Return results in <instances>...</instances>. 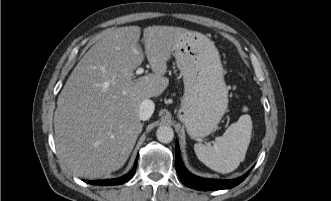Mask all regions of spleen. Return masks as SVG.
Returning a JSON list of instances; mask_svg holds the SVG:
<instances>
[{"label": "spleen", "mask_w": 331, "mask_h": 201, "mask_svg": "<svg viewBox=\"0 0 331 201\" xmlns=\"http://www.w3.org/2000/svg\"><path fill=\"white\" fill-rule=\"evenodd\" d=\"M247 111L245 107L243 109ZM252 121L248 114L240 116L224 134L210 143L194 145L198 159L210 169L219 173H230L244 161L251 140Z\"/></svg>", "instance_id": "3e777b00"}]
</instances>
